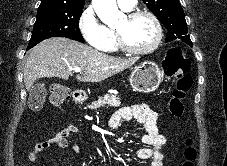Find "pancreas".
Returning <instances> with one entry per match:
<instances>
[{
  "instance_id": "obj_1",
  "label": "pancreas",
  "mask_w": 227,
  "mask_h": 166,
  "mask_svg": "<svg viewBox=\"0 0 227 166\" xmlns=\"http://www.w3.org/2000/svg\"><path fill=\"white\" fill-rule=\"evenodd\" d=\"M104 105L119 107L121 102L119 97H116L115 95H105L104 97L99 98L97 101L92 102L87 107L91 110H94Z\"/></svg>"
}]
</instances>
